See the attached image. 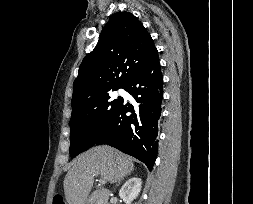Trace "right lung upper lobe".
<instances>
[{
	"instance_id": "right-lung-upper-lobe-1",
	"label": "right lung upper lobe",
	"mask_w": 253,
	"mask_h": 204,
	"mask_svg": "<svg viewBox=\"0 0 253 204\" xmlns=\"http://www.w3.org/2000/svg\"><path fill=\"white\" fill-rule=\"evenodd\" d=\"M143 24L129 12L112 15L73 84L72 109L123 88L155 50Z\"/></svg>"
}]
</instances>
